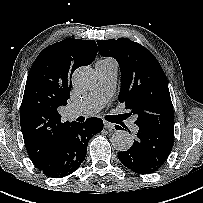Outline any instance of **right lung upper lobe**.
Wrapping results in <instances>:
<instances>
[{"label": "right lung upper lobe", "instance_id": "cb5924a9", "mask_svg": "<svg viewBox=\"0 0 203 203\" xmlns=\"http://www.w3.org/2000/svg\"><path fill=\"white\" fill-rule=\"evenodd\" d=\"M94 40L65 39L46 47L34 61L25 86L20 125L25 146L35 166L54 151L70 122H61L60 106L67 105L71 77L96 57Z\"/></svg>", "mask_w": 203, "mask_h": 203}]
</instances>
